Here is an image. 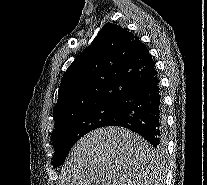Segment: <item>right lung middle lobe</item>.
<instances>
[{
	"label": "right lung middle lobe",
	"mask_w": 207,
	"mask_h": 185,
	"mask_svg": "<svg viewBox=\"0 0 207 185\" xmlns=\"http://www.w3.org/2000/svg\"><path fill=\"white\" fill-rule=\"evenodd\" d=\"M120 104H104L69 116L55 125L52 132L55 154L52 164L62 165L72 146L85 134L115 121Z\"/></svg>",
	"instance_id": "1"
}]
</instances>
